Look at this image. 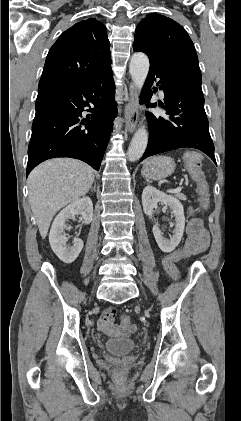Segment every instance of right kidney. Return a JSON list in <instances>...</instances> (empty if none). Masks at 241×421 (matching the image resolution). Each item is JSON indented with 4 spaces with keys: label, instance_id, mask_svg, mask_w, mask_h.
I'll list each match as a JSON object with an SVG mask.
<instances>
[{
    "label": "right kidney",
    "instance_id": "ca27d5eb",
    "mask_svg": "<svg viewBox=\"0 0 241 421\" xmlns=\"http://www.w3.org/2000/svg\"><path fill=\"white\" fill-rule=\"evenodd\" d=\"M80 214L85 224L93 219V204L89 197L75 200L64 208L54 219L49 233V242L54 253L65 263H72L79 256L84 244L79 238H74L73 245L67 246L65 236L66 221Z\"/></svg>",
    "mask_w": 241,
    "mask_h": 421
}]
</instances>
